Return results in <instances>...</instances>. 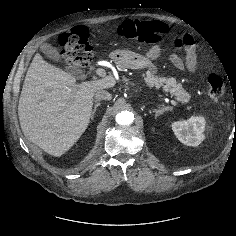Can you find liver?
<instances>
[{"label":"liver","mask_w":236,"mask_h":236,"mask_svg":"<svg viewBox=\"0 0 236 236\" xmlns=\"http://www.w3.org/2000/svg\"><path fill=\"white\" fill-rule=\"evenodd\" d=\"M115 84L112 76L77 84L74 76L47 63L37 53L28 68L18 104L23 134L48 154L63 155L87 129L95 93Z\"/></svg>","instance_id":"obj_1"}]
</instances>
